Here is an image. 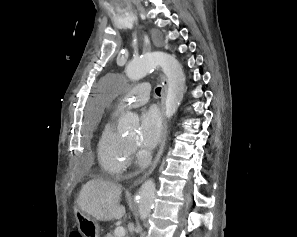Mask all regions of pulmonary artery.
Listing matches in <instances>:
<instances>
[{"instance_id": "1", "label": "pulmonary artery", "mask_w": 297, "mask_h": 237, "mask_svg": "<svg viewBox=\"0 0 297 237\" xmlns=\"http://www.w3.org/2000/svg\"><path fill=\"white\" fill-rule=\"evenodd\" d=\"M151 87L146 83L138 84L131 88L127 94L128 106H141L149 100Z\"/></svg>"}]
</instances>
